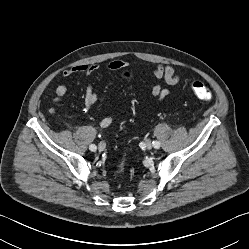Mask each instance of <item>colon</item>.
I'll return each mask as SVG.
<instances>
[{"label":"colon","mask_w":249,"mask_h":249,"mask_svg":"<svg viewBox=\"0 0 249 249\" xmlns=\"http://www.w3.org/2000/svg\"><path fill=\"white\" fill-rule=\"evenodd\" d=\"M190 88L197 98L203 101H210L213 97L212 91L199 81L190 83Z\"/></svg>","instance_id":"colon-1"}]
</instances>
